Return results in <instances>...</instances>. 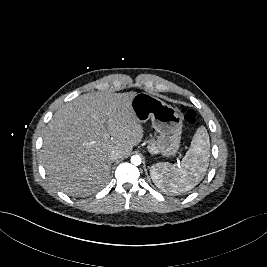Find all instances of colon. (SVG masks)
I'll return each mask as SVG.
<instances>
[{
  "instance_id": "1",
  "label": "colon",
  "mask_w": 267,
  "mask_h": 267,
  "mask_svg": "<svg viewBox=\"0 0 267 267\" xmlns=\"http://www.w3.org/2000/svg\"><path fill=\"white\" fill-rule=\"evenodd\" d=\"M182 114H183V117H184L185 122L188 125L191 126V125L195 124V122L197 120V116H196V112L194 110L189 109V108H185L182 111Z\"/></svg>"
}]
</instances>
